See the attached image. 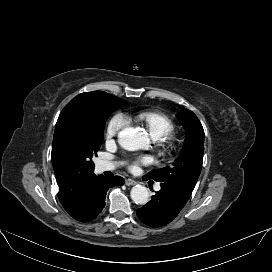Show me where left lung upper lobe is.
<instances>
[{
    "mask_svg": "<svg viewBox=\"0 0 272 272\" xmlns=\"http://www.w3.org/2000/svg\"><path fill=\"white\" fill-rule=\"evenodd\" d=\"M177 117L187 130L183 152L173 166L152 170L144 177L172 187L189 198L201 172L204 153V130L196 115L184 109Z\"/></svg>",
    "mask_w": 272,
    "mask_h": 272,
    "instance_id": "5c2ea615",
    "label": "left lung upper lobe"
}]
</instances>
